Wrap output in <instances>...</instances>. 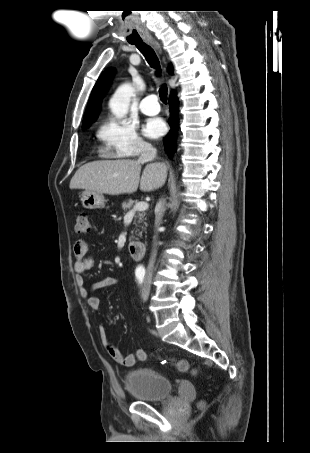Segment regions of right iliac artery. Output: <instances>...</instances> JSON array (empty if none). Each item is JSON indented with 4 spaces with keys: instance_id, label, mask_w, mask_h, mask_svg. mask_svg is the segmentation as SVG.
<instances>
[{
    "instance_id": "right-iliac-artery-1",
    "label": "right iliac artery",
    "mask_w": 310,
    "mask_h": 453,
    "mask_svg": "<svg viewBox=\"0 0 310 453\" xmlns=\"http://www.w3.org/2000/svg\"><path fill=\"white\" fill-rule=\"evenodd\" d=\"M136 278L140 284H142L144 280L145 273L144 272H136Z\"/></svg>"
}]
</instances>
